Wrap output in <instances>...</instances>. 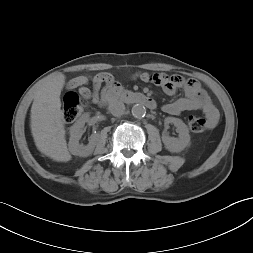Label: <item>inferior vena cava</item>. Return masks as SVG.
<instances>
[{
  "label": "inferior vena cava",
  "mask_w": 253,
  "mask_h": 253,
  "mask_svg": "<svg viewBox=\"0 0 253 253\" xmlns=\"http://www.w3.org/2000/svg\"><path fill=\"white\" fill-rule=\"evenodd\" d=\"M108 110L113 116L119 117L125 112V105L121 101H113L109 104Z\"/></svg>",
  "instance_id": "1"
}]
</instances>
